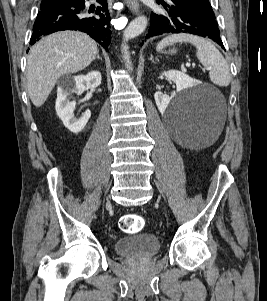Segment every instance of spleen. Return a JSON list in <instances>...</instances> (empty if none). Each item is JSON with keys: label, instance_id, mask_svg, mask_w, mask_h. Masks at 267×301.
<instances>
[{"label": "spleen", "instance_id": "spleen-1", "mask_svg": "<svg viewBox=\"0 0 267 301\" xmlns=\"http://www.w3.org/2000/svg\"><path fill=\"white\" fill-rule=\"evenodd\" d=\"M178 42H189L197 51L196 56L203 66L209 68V77L213 84L224 87L231 81L229 66L220 51L208 40L191 34H173L162 39L157 51Z\"/></svg>", "mask_w": 267, "mask_h": 301}]
</instances>
